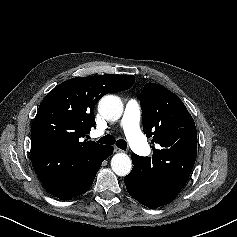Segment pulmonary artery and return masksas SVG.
Segmentation results:
<instances>
[{"mask_svg":"<svg viewBox=\"0 0 237 237\" xmlns=\"http://www.w3.org/2000/svg\"><path fill=\"white\" fill-rule=\"evenodd\" d=\"M140 120L141 108L138 101L135 99H129L126 103L122 117V128L133 150L141 156H146L150 151V147L143 140L139 128Z\"/></svg>","mask_w":237,"mask_h":237,"instance_id":"obj_1","label":"pulmonary artery"}]
</instances>
